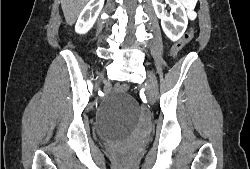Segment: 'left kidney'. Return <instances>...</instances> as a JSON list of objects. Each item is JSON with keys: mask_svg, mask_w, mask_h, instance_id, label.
Masks as SVG:
<instances>
[{"mask_svg": "<svg viewBox=\"0 0 250 169\" xmlns=\"http://www.w3.org/2000/svg\"><path fill=\"white\" fill-rule=\"evenodd\" d=\"M152 4L158 18H161V26L165 34L171 40H178L184 34L188 24L186 10L181 0H166L165 4L163 0H152ZM166 4L171 6L170 14L165 10ZM172 12L177 14L176 18Z\"/></svg>", "mask_w": 250, "mask_h": 169, "instance_id": "5707ae66", "label": "left kidney"}]
</instances>
